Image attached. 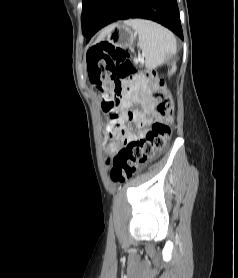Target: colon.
Here are the masks:
<instances>
[{"label":"colon","instance_id":"colon-1","mask_svg":"<svg viewBox=\"0 0 238 278\" xmlns=\"http://www.w3.org/2000/svg\"><path fill=\"white\" fill-rule=\"evenodd\" d=\"M88 76L99 93L104 113L109 115L106 130L112 134L118 127L120 98L124 84L140 77L150 98L154 101L157 119L141 140L131 141L112 158L110 176L114 182L123 183L137 169L162 153L172 132L174 105L172 99L158 90L149 71L138 73L130 52L103 41L90 47L86 54ZM115 153L114 149L110 150Z\"/></svg>","mask_w":238,"mask_h":278}]
</instances>
